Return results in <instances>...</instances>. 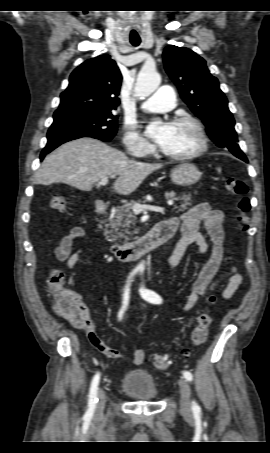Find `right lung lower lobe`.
Listing matches in <instances>:
<instances>
[{
  "instance_id": "obj_1",
  "label": "right lung lower lobe",
  "mask_w": 270,
  "mask_h": 453,
  "mask_svg": "<svg viewBox=\"0 0 270 453\" xmlns=\"http://www.w3.org/2000/svg\"><path fill=\"white\" fill-rule=\"evenodd\" d=\"M67 141H70V140H65V139H61V138H49L46 147L41 152L40 160H43V158L45 157L46 154H48L53 149H55L56 147H58L59 145L65 143Z\"/></svg>"
}]
</instances>
